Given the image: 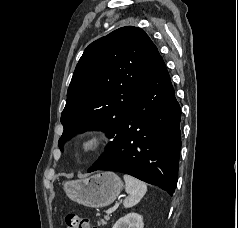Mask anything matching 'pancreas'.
Instances as JSON below:
<instances>
[{"mask_svg": "<svg viewBox=\"0 0 238 228\" xmlns=\"http://www.w3.org/2000/svg\"><path fill=\"white\" fill-rule=\"evenodd\" d=\"M109 220H110V217L106 215L104 219H101L100 221H98V225H105L107 224V221Z\"/></svg>", "mask_w": 238, "mask_h": 228, "instance_id": "pancreas-1", "label": "pancreas"}]
</instances>
